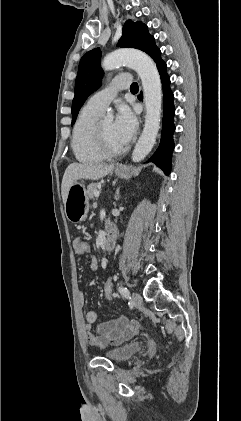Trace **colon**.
Listing matches in <instances>:
<instances>
[{"label": "colon", "instance_id": "colon-1", "mask_svg": "<svg viewBox=\"0 0 241 421\" xmlns=\"http://www.w3.org/2000/svg\"><path fill=\"white\" fill-rule=\"evenodd\" d=\"M76 253L87 255L91 251V246L87 241L80 240L75 249ZM103 294L105 299L112 301L114 298L113 283L110 279H106L103 284Z\"/></svg>", "mask_w": 241, "mask_h": 421}]
</instances>
